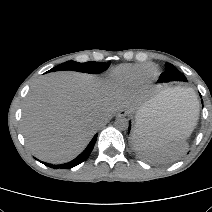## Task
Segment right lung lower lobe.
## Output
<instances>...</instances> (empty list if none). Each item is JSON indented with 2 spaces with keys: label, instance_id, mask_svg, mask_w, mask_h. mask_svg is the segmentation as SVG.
Segmentation results:
<instances>
[{
  "label": "right lung lower lobe",
  "instance_id": "right-lung-lower-lobe-1",
  "mask_svg": "<svg viewBox=\"0 0 212 212\" xmlns=\"http://www.w3.org/2000/svg\"><path fill=\"white\" fill-rule=\"evenodd\" d=\"M49 72V71H48ZM97 135L96 134L93 139L91 140V142L89 143V145L87 146V148L77 157L75 158L74 160H72L71 162H68V163H65V164H62V165H53V164H48V163H44L46 166H49V167H52V168H61V169H69V168H72L80 163H82L83 161H85L88 156L90 155L94 145H95V142H96V139H97Z\"/></svg>",
  "mask_w": 212,
  "mask_h": 212
}]
</instances>
